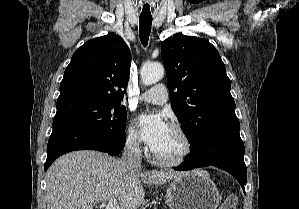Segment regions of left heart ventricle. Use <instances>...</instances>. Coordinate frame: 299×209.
Instances as JSON below:
<instances>
[{
	"label": "left heart ventricle",
	"mask_w": 299,
	"mask_h": 209,
	"mask_svg": "<svg viewBox=\"0 0 299 209\" xmlns=\"http://www.w3.org/2000/svg\"><path fill=\"white\" fill-rule=\"evenodd\" d=\"M182 149L183 142L180 136L170 128L162 141L152 150L163 158H170L178 155Z\"/></svg>",
	"instance_id": "1"
}]
</instances>
